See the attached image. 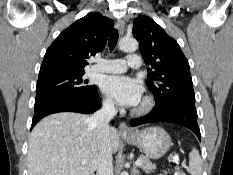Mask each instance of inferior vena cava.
Returning a JSON list of instances; mask_svg holds the SVG:
<instances>
[{
  "mask_svg": "<svg viewBox=\"0 0 233 175\" xmlns=\"http://www.w3.org/2000/svg\"><path fill=\"white\" fill-rule=\"evenodd\" d=\"M117 111L112 100H105L101 109L90 117V124L97 129L100 152L97 165V175H113L112 150L109 139V122Z\"/></svg>",
  "mask_w": 233,
  "mask_h": 175,
  "instance_id": "inferior-vena-cava-1",
  "label": "inferior vena cava"
}]
</instances>
